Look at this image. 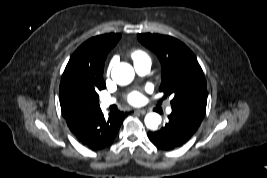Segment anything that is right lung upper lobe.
I'll return each instance as SVG.
<instances>
[{
  "mask_svg": "<svg viewBox=\"0 0 267 178\" xmlns=\"http://www.w3.org/2000/svg\"><path fill=\"white\" fill-rule=\"evenodd\" d=\"M121 38L120 34H105L84 42L72 54L62 75L60 90L65 83L74 79H91L95 83H104L103 68L108 52ZM71 111L62 109V114Z\"/></svg>",
  "mask_w": 267,
  "mask_h": 178,
  "instance_id": "obj_1",
  "label": "right lung upper lobe"
}]
</instances>
